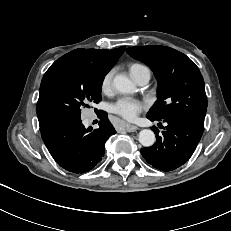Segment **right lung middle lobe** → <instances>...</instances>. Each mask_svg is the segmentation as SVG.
<instances>
[{
    "label": "right lung middle lobe",
    "instance_id": "right-lung-middle-lobe-1",
    "mask_svg": "<svg viewBox=\"0 0 231 231\" xmlns=\"http://www.w3.org/2000/svg\"><path fill=\"white\" fill-rule=\"evenodd\" d=\"M108 70L78 57L66 58L45 73L39 101L55 123L81 118V108L101 100V86Z\"/></svg>",
    "mask_w": 231,
    "mask_h": 231
}]
</instances>
